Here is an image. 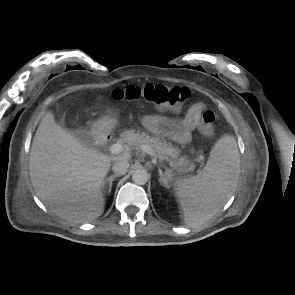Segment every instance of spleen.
<instances>
[{
    "label": "spleen",
    "mask_w": 295,
    "mask_h": 295,
    "mask_svg": "<svg viewBox=\"0 0 295 295\" xmlns=\"http://www.w3.org/2000/svg\"><path fill=\"white\" fill-rule=\"evenodd\" d=\"M239 173L236 140L225 135L212 148L202 171L176 183L175 193L184 211L185 223L196 227L211 219L232 196Z\"/></svg>",
    "instance_id": "3e777b00"
}]
</instances>
